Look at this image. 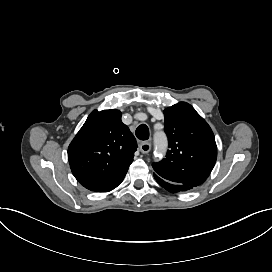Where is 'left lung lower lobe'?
Masks as SVG:
<instances>
[{
  "label": "left lung lower lobe",
  "mask_w": 272,
  "mask_h": 272,
  "mask_svg": "<svg viewBox=\"0 0 272 272\" xmlns=\"http://www.w3.org/2000/svg\"><path fill=\"white\" fill-rule=\"evenodd\" d=\"M154 178L163 188H165L167 191H169L171 193L183 192V191H187V190H190L193 188V187L185 186L182 184H176V183L169 182V181L161 178L160 176H158L156 173H154Z\"/></svg>",
  "instance_id": "left-lung-lower-lobe-1"
}]
</instances>
